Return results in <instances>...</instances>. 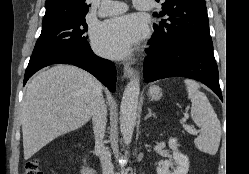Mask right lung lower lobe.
I'll use <instances>...</instances> for the list:
<instances>
[{
  "label": "right lung lower lobe",
  "mask_w": 249,
  "mask_h": 174,
  "mask_svg": "<svg viewBox=\"0 0 249 174\" xmlns=\"http://www.w3.org/2000/svg\"><path fill=\"white\" fill-rule=\"evenodd\" d=\"M51 64H73L78 66L94 75L111 92L115 91V65L111 61L95 55L90 46L57 48L33 53L25 71L24 85L35 72Z\"/></svg>",
  "instance_id": "right-lung-lower-lobe-1"
}]
</instances>
